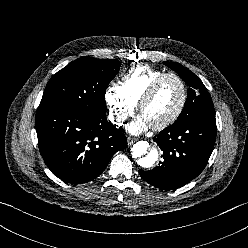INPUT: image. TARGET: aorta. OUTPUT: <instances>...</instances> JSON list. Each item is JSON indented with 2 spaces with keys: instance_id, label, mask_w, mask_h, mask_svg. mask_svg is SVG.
Wrapping results in <instances>:
<instances>
[{
  "instance_id": "aorta-1",
  "label": "aorta",
  "mask_w": 248,
  "mask_h": 248,
  "mask_svg": "<svg viewBox=\"0 0 248 248\" xmlns=\"http://www.w3.org/2000/svg\"><path fill=\"white\" fill-rule=\"evenodd\" d=\"M132 157L136 159L138 165L144 168L152 167L159 158V152L155 148H150L147 141L137 142L132 150Z\"/></svg>"
}]
</instances>
